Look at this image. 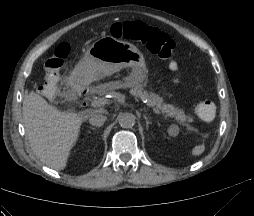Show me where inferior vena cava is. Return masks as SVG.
I'll list each match as a JSON object with an SVG mask.
<instances>
[{"instance_id": "602c4592", "label": "inferior vena cava", "mask_w": 254, "mask_h": 216, "mask_svg": "<svg viewBox=\"0 0 254 216\" xmlns=\"http://www.w3.org/2000/svg\"><path fill=\"white\" fill-rule=\"evenodd\" d=\"M107 117L101 113H94L89 118V123L93 126L100 127L104 124Z\"/></svg>"}]
</instances>
